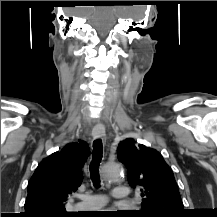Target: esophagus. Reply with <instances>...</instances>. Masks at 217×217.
<instances>
[{"label":"esophagus","mask_w":217,"mask_h":217,"mask_svg":"<svg viewBox=\"0 0 217 217\" xmlns=\"http://www.w3.org/2000/svg\"><path fill=\"white\" fill-rule=\"evenodd\" d=\"M92 136L94 139L105 138V127L102 124H97L92 130Z\"/></svg>","instance_id":"1"}]
</instances>
